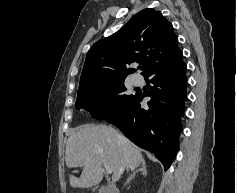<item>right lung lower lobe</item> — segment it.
Here are the masks:
<instances>
[{
    "instance_id": "right-lung-lower-lobe-1",
    "label": "right lung lower lobe",
    "mask_w": 237,
    "mask_h": 193,
    "mask_svg": "<svg viewBox=\"0 0 237 193\" xmlns=\"http://www.w3.org/2000/svg\"><path fill=\"white\" fill-rule=\"evenodd\" d=\"M185 70L179 50L143 75L152 83L146 95L151 98L147 108L140 106L145 95L136 92L123 110L105 119L118 126L133 143L154 153L165 170L174 161L178 149L180 117L187 95Z\"/></svg>"
}]
</instances>
